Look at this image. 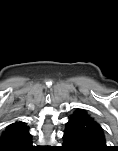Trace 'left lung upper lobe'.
<instances>
[{"mask_svg":"<svg viewBox=\"0 0 118 151\" xmlns=\"http://www.w3.org/2000/svg\"><path fill=\"white\" fill-rule=\"evenodd\" d=\"M66 129L83 137L95 151H106L108 149L103 129L89 114L82 110L75 111L69 117Z\"/></svg>","mask_w":118,"mask_h":151,"instance_id":"5c2ea615","label":"left lung upper lobe"}]
</instances>
